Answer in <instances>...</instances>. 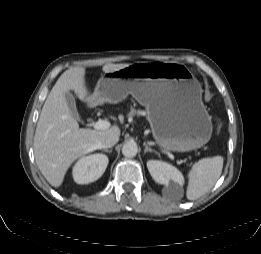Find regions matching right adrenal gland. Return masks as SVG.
I'll return each instance as SVG.
<instances>
[{
  "label": "right adrenal gland",
  "mask_w": 261,
  "mask_h": 254,
  "mask_svg": "<svg viewBox=\"0 0 261 254\" xmlns=\"http://www.w3.org/2000/svg\"><path fill=\"white\" fill-rule=\"evenodd\" d=\"M104 152H107V153H111L112 152V148L111 149H102Z\"/></svg>",
  "instance_id": "right-adrenal-gland-1"
}]
</instances>
